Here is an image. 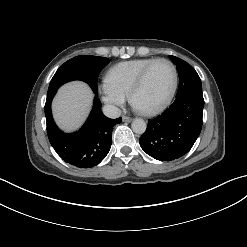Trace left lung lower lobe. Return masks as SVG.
<instances>
[{"label": "left lung lower lobe", "mask_w": 247, "mask_h": 247, "mask_svg": "<svg viewBox=\"0 0 247 247\" xmlns=\"http://www.w3.org/2000/svg\"><path fill=\"white\" fill-rule=\"evenodd\" d=\"M204 99L201 89L181 92L161 115L148 121L141 148L160 161L180 158L194 145L202 128Z\"/></svg>", "instance_id": "obj_1"}]
</instances>
